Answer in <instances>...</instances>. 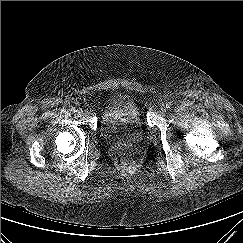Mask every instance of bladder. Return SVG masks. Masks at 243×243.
<instances>
[{
    "mask_svg": "<svg viewBox=\"0 0 243 243\" xmlns=\"http://www.w3.org/2000/svg\"><path fill=\"white\" fill-rule=\"evenodd\" d=\"M99 136L105 143L124 146H135L143 141V121L131 96L117 93L109 98L101 115Z\"/></svg>",
    "mask_w": 243,
    "mask_h": 243,
    "instance_id": "bladder-1",
    "label": "bladder"
}]
</instances>
